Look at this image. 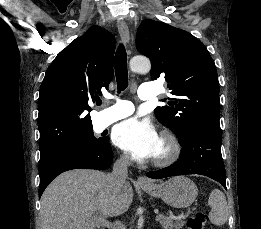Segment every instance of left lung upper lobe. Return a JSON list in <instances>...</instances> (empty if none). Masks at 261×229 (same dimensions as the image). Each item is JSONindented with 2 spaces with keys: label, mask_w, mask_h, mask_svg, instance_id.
Masks as SVG:
<instances>
[{
  "label": "left lung upper lobe",
  "mask_w": 261,
  "mask_h": 229,
  "mask_svg": "<svg viewBox=\"0 0 261 229\" xmlns=\"http://www.w3.org/2000/svg\"><path fill=\"white\" fill-rule=\"evenodd\" d=\"M136 47L150 59L152 79L165 76L172 90L171 107L154 111L158 121L181 143L199 128L220 132L218 76L205 45L184 30L146 19L137 30Z\"/></svg>",
  "instance_id": "obj_1"
}]
</instances>
